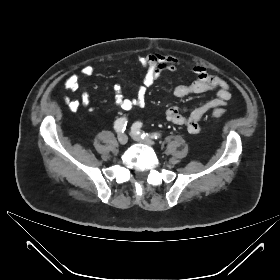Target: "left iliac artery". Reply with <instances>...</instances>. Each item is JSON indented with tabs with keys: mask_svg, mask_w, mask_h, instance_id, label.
Returning a JSON list of instances; mask_svg holds the SVG:
<instances>
[{
	"mask_svg": "<svg viewBox=\"0 0 280 280\" xmlns=\"http://www.w3.org/2000/svg\"><path fill=\"white\" fill-rule=\"evenodd\" d=\"M141 127H142L141 122H135L132 125V131L136 132L138 135H141V138L151 137L153 139H158L161 137L160 133H152V134L145 133L144 131L141 130Z\"/></svg>",
	"mask_w": 280,
	"mask_h": 280,
	"instance_id": "1",
	"label": "left iliac artery"
}]
</instances>
